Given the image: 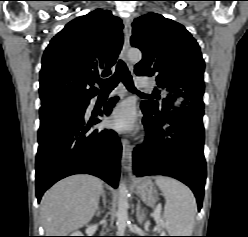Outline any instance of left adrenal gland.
Returning a JSON list of instances; mask_svg holds the SVG:
<instances>
[{
  "label": "left adrenal gland",
  "instance_id": "1",
  "mask_svg": "<svg viewBox=\"0 0 248 237\" xmlns=\"http://www.w3.org/2000/svg\"><path fill=\"white\" fill-rule=\"evenodd\" d=\"M136 218L139 223H142L146 218L145 213L141 210V204L139 200L136 205Z\"/></svg>",
  "mask_w": 248,
  "mask_h": 237
}]
</instances>
